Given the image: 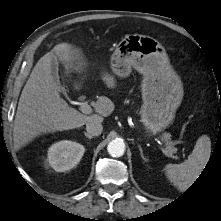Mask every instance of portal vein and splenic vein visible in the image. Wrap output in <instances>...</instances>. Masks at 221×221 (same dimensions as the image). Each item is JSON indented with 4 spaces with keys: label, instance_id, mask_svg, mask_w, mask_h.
I'll use <instances>...</instances> for the list:
<instances>
[{
    "label": "portal vein and splenic vein",
    "instance_id": "1",
    "mask_svg": "<svg viewBox=\"0 0 221 221\" xmlns=\"http://www.w3.org/2000/svg\"><path fill=\"white\" fill-rule=\"evenodd\" d=\"M80 110H81L84 114H91V113H92V108H91V106L88 105L87 103H82L81 106H80ZM160 149L162 150V152H163L165 155H167V156H169V157H172V158H176V159L178 158V157H176V156H170V155L167 153L166 149H164L163 147H160Z\"/></svg>",
    "mask_w": 221,
    "mask_h": 221
}]
</instances>
